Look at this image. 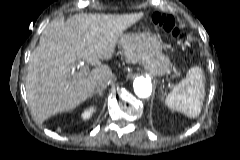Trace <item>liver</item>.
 <instances>
[{
    "label": "liver",
    "mask_w": 240,
    "mask_h": 160,
    "mask_svg": "<svg viewBox=\"0 0 240 160\" xmlns=\"http://www.w3.org/2000/svg\"><path fill=\"white\" fill-rule=\"evenodd\" d=\"M124 15L76 14L52 22L32 52L26 89L34 114L41 120L71 111L91 97L98 81L111 78L108 65L96 66L84 76L75 71L78 61L111 59L123 32L143 17Z\"/></svg>",
    "instance_id": "6515ba94"
}]
</instances>
